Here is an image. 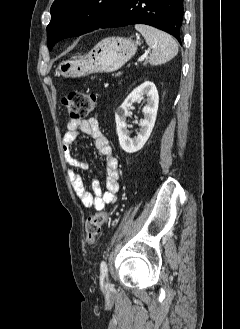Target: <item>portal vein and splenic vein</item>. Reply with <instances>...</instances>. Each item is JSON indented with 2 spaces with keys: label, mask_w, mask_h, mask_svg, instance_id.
<instances>
[{
  "label": "portal vein and splenic vein",
  "mask_w": 240,
  "mask_h": 329,
  "mask_svg": "<svg viewBox=\"0 0 240 329\" xmlns=\"http://www.w3.org/2000/svg\"><path fill=\"white\" fill-rule=\"evenodd\" d=\"M147 57H148V52H146L144 55H142L141 57H139V59H138V61L135 63V65H137L139 62L144 61Z\"/></svg>",
  "instance_id": "portal-vein-and-splenic-vein-1"
}]
</instances>
